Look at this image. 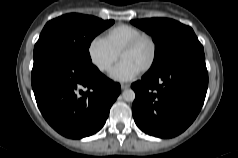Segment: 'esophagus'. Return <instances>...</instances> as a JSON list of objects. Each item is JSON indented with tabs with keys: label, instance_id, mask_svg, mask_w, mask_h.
I'll use <instances>...</instances> for the list:
<instances>
[{
	"label": "esophagus",
	"instance_id": "1",
	"mask_svg": "<svg viewBox=\"0 0 238 158\" xmlns=\"http://www.w3.org/2000/svg\"><path fill=\"white\" fill-rule=\"evenodd\" d=\"M129 87H130L129 84H121V89L122 90L128 89Z\"/></svg>",
	"mask_w": 238,
	"mask_h": 158
}]
</instances>
